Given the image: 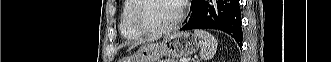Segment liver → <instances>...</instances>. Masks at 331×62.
<instances>
[{"instance_id": "6515ba94", "label": "liver", "mask_w": 331, "mask_h": 62, "mask_svg": "<svg viewBox=\"0 0 331 62\" xmlns=\"http://www.w3.org/2000/svg\"><path fill=\"white\" fill-rule=\"evenodd\" d=\"M158 37H154V38H150V39H147V40H140L139 42H137L136 44H134V46H137L138 44H140V43H144V42H146V41H153V40H155V39H157Z\"/></svg>"}]
</instances>
